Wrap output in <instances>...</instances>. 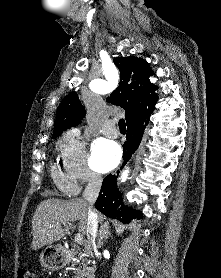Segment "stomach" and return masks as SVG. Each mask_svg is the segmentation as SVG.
I'll return each mask as SVG.
<instances>
[{
    "mask_svg": "<svg viewBox=\"0 0 221 278\" xmlns=\"http://www.w3.org/2000/svg\"><path fill=\"white\" fill-rule=\"evenodd\" d=\"M41 264L49 270L61 269L66 261L65 255L58 246L49 245L40 254Z\"/></svg>",
    "mask_w": 221,
    "mask_h": 278,
    "instance_id": "stomach-1",
    "label": "stomach"
}]
</instances>
